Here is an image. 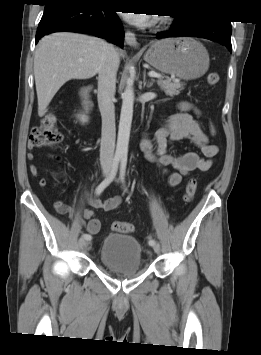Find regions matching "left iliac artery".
<instances>
[{"label": "left iliac artery", "instance_id": "1", "mask_svg": "<svg viewBox=\"0 0 261 355\" xmlns=\"http://www.w3.org/2000/svg\"><path fill=\"white\" fill-rule=\"evenodd\" d=\"M126 164H127V157L122 156L121 158V166H120V179L124 183V178H125V172H126ZM150 246H153L156 242L153 239H149L148 241Z\"/></svg>", "mask_w": 261, "mask_h": 355}]
</instances>
